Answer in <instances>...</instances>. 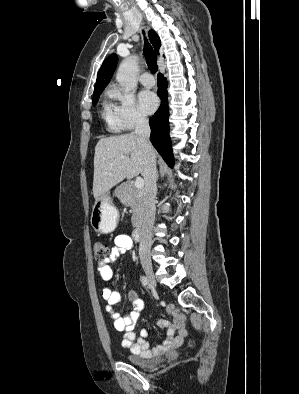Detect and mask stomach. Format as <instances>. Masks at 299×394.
Wrapping results in <instances>:
<instances>
[{
	"mask_svg": "<svg viewBox=\"0 0 299 394\" xmlns=\"http://www.w3.org/2000/svg\"><path fill=\"white\" fill-rule=\"evenodd\" d=\"M119 212L113 205L111 198L104 194L95 201L91 213V225L100 233H111L117 227Z\"/></svg>",
	"mask_w": 299,
	"mask_h": 394,
	"instance_id": "0dacf381",
	"label": "stomach"
}]
</instances>
